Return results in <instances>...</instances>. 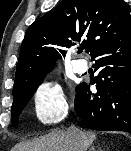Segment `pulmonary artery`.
Wrapping results in <instances>:
<instances>
[{
  "label": "pulmonary artery",
  "instance_id": "1",
  "mask_svg": "<svg viewBox=\"0 0 131 151\" xmlns=\"http://www.w3.org/2000/svg\"><path fill=\"white\" fill-rule=\"evenodd\" d=\"M73 69L77 72V73H84L87 71L88 66L87 63L83 60H76L73 62Z\"/></svg>",
  "mask_w": 131,
  "mask_h": 151
}]
</instances>
